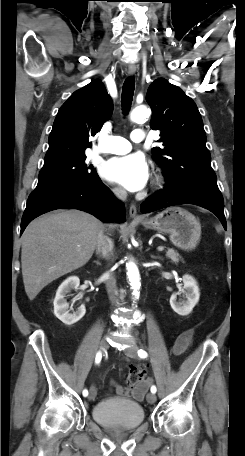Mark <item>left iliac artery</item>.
<instances>
[{"instance_id": "obj_1", "label": "left iliac artery", "mask_w": 245, "mask_h": 456, "mask_svg": "<svg viewBox=\"0 0 245 456\" xmlns=\"http://www.w3.org/2000/svg\"><path fill=\"white\" fill-rule=\"evenodd\" d=\"M138 356H139L140 358H146V357L148 356V354H147L146 351L140 349V350H138ZM156 391H157L156 386L153 385V386L151 387V392H152V393H156Z\"/></svg>"}]
</instances>
